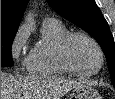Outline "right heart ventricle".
<instances>
[{"label": "right heart ventricle", "mask_w": 115, "mask_h": 99, "mask_svg": "<svg viewBox=\"0 0 115 99\" xmlns=\"http://www.w3.org/2000/svg\"><path fill=\"white\" fill-rule=\"evenodd\" d=\"M69 32L58 20L48 19L43 23L41 43L33 47L28 55L26 66L30 74L46 76L69 72L57 56L59 43Z\"/></svg>", "instance_id": "right-heart-ventricle-1"}]
</instances>
